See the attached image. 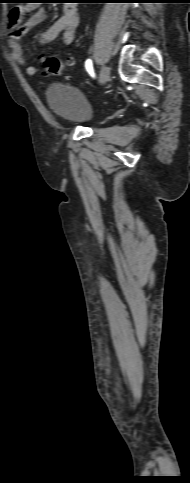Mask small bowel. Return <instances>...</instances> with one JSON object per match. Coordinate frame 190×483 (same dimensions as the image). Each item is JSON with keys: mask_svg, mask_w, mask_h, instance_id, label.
I'll return each instance as SVG.
<instances>
[{"mask_svg": "<svg viewBox=\"0 0 190 483\" xmlns=\"http://www.w3.org/2000/svg\"><path fill=\"white\" fill-rule=\"evenodd\" d=\"M46 16L47 12L43 7L30 4L14 7L8 14L7 36L8 45L11 49L10 57L17 65L25 68V73L28 76L36 75L37 69L27 64L20 45V39L30 29L43 22ZM25 18L26 20H24ZM78 25L79 13L77 6L73 2H69L64 5L60 18L41 32L39 40L41 43L47 44L61 37L62 43L69 45L75 39Z\"/></svg>", "mask_w": 190, "mask_h": 483, "instance_id": "1", "label": "small bowel"}]
</instances>
